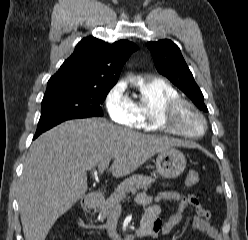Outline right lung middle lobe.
I'll use <instances>...</instances> for the list:
<instances>
[{"label":"right lung middle lobe","instance_id":"obj_1","mask_svg":"<svg viewBox=\"0 0 248 240\" xmlns=\"http://www.w3.org/2000/svg\"><path fill=\"white\" fill-rule=\"evenodd\" d=\"M110 89L60 88L46 91L39 123L103 116L101 104Z\"/></svg>","mask_w":248,"mask_h":240}]
</instances>
